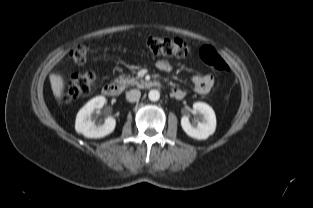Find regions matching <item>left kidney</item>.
<instances>
[{"instance_id": "left-kidney-1", "label": "left kidney", "mask_w": 313, "mask_h": 208, "mask_svg": "<svg viewBox=\"0 0 313 208\" xmlns=\"http://www.w3.org/2000/svg\"><path fill=\"white\" fill-rule=\"evenodd\" d=\"M193 109L202 115V121L198 122L197 126H193L188 116H182L181 126L188 136L198 140H205L215 132V112L212 107L203 102H195Z\"/></svg>"}]
</instances>
